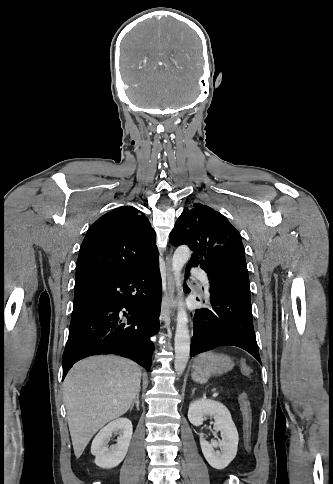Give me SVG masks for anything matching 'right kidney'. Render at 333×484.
Returning a JSON list of instances; mask_svg holds the SVG:
<instances>
[{"label":"right kidney","mask_w":333,"mask_h":484,"mask_svg":"<svg viewBox=\"0 0 333 484\" xmlns=\"http://www.w3.org/2000/svg\"><path fill=\"white\" fill-rule=\"evenodd\" d=\"M113 433L119 434L117 444L109 447L108 442ZM132 423L127 418L110 422L94 438L91 453L95 456V464L103 469L118 466L125 458L132 438Z\"/></svg>","instance_id":"obj_1"}]
</instances>
